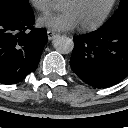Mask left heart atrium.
Here are the masks:
<instances>
[{"instance_id": "obj_1", "label": "left heart atrium", "mask_w": 128, "mask_h": 128, "mask_svg": "<svg viewBox=\"0 0 128 128\" xmlns=\"http://www.w3.org/2000/svg\"><path fill=\"white\" fill-rule=\"evenodd\" d=\"M38 25L54 31H68L76 28L78 22L70 11L46 14L38 18Z\"/></svg>"}]
</instances>
